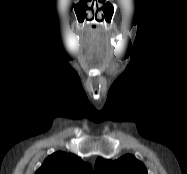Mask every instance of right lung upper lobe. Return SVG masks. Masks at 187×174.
<instances>
[{"label":"right lung upper lobe","mask_w":187,"mask_h":174,"mask_svg":"<svg viewBox=\"0 0 187 174\" xmlns=\"http://www.w3.org/2000/svg\"><path fill=\"white\" fill-rule=\"evenodd\" d=\"M35 174H93L90 164L73 154L56 152L50 155Z\"/></svg>","instance_id":"1"}]
</instances>
